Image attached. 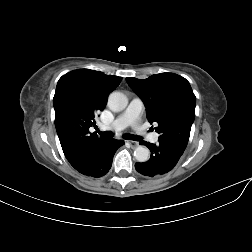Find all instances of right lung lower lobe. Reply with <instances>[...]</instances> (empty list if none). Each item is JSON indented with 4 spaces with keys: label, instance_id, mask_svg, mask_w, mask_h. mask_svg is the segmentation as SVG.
Instances as JSON below:
<instances>
[{
    "label": "right lung lower lobe",
    "instance_id": "98d812e1",
    "mask_svg": "<svg viewBox=\"0 0 252 252\" xmlns=\"http://www.w3.org/2000/svg\"><path fill=\"white\" fill-rule=\"evenodd\" d=\"M123 144V140L106 138L85 149L70 164L81 174L95 178L102 177L111 168L113 156Z\"/></svg>",
    "mask_w": 252,
    "mask_h": 252
}]
</instances>
